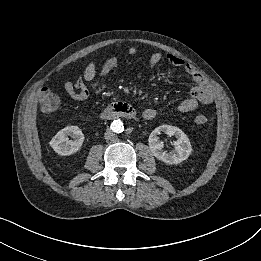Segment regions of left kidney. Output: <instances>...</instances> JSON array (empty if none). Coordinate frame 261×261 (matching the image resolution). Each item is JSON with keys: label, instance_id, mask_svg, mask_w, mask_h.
<instances>
[{"label": "left kidney", "instance_id": "left-kidney-1", "mask_svg": "<svg viewBox=\"0 0 261 261\" xmlns=\"http://www.w3.org/2000/svg\"><path fill=\"white\" fill-rule=\"evenodd\" d=\"M161 132H164L168 136H176L177 140L173 142V151L169 153L167 151H162L164 144L158 137ZM149 148L153 156L164 163L171 165H177L182 161H185L192 152V146L187 135L178 127L166 124L161 125L152 131L149 136Z\"/></svg>", "mask_w": 261, "mask_h": 261}]
</instances>
